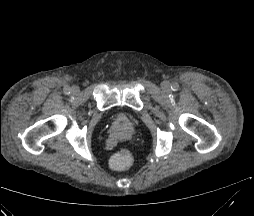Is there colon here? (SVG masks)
Returning a JSON list of instances; mask_svg holds the SVG:
<instances>
[{
    "mask_svg": "<svg viewBox=\"0 0 254 216\" xmlns=\"http://www.w3.org/2000/svg\"><path fill=\"white\" fill-rule=\"evenodd\" d=\"M131 163V154L126 146H122L109 160V166L118 171L127 169Z\"/></svg>",
    "mask_w": 254,
    "mask_h": 216,
    "instance_id": "colon-1",
    "label": "colon"
}]
</instances>
